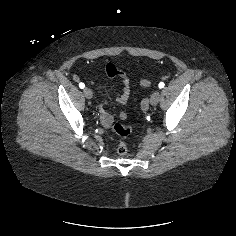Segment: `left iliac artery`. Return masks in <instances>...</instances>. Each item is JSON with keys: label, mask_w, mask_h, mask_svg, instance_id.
<instances>
[{"label": "left iliac artery", "mask_w": 236, "mask_h": 236, "mask_svg": "<svg viewBox=\"0 0 236 236\" xmlns=\"http://www.w3.org/2000/svg\"><path fill=\"white\" fill-rule=\"evenodd\" d=\"M158 86L159 88H164L165 84L163 82H160Z\"/></svg>", "instance_id": "left-iliac-artery-1"}]
</instances>
